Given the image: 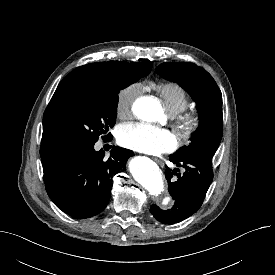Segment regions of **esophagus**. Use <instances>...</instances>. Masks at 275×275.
<instances>
[{
	"label": "esophagus",
	"instance_id": "1",
	"mask_svg": "<svg viewBox=\"0 0 275 275\" xmlns=\"http://www.w3.org/2000/svg\"><path fill=\"white\" fill-rule=\"evenodd\" d=\"M155 162H156L159 166H161V167L164 166L163 161H161L160 159L155 158Z\"/></svg>",
	"mask_w": 275,
	"mask_h": 275
}]
</instances>
